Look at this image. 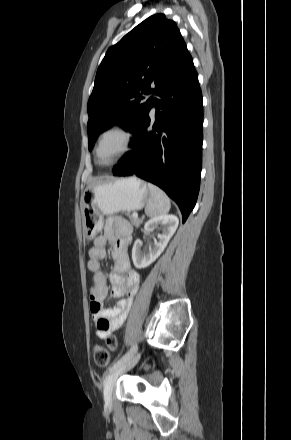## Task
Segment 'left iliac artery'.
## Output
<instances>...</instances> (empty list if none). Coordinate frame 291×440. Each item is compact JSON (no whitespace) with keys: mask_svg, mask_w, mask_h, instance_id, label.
Masks as SVG:
<instances>
[{"mask_svg":"<svg viewBox=\"0 0 291 440\" xmlns=\"http://www.w3.org/2000/svg\"><path fill=\"white\" fill-rule=\"evenodd\" d=\"M137 350V345H133L130 350L124 354L118 361H116L109 369L108 372L111 373L113 370L118 368L119 366L125 364L129 359L134 355Z\"/></svg>","mask_w":291,"mask_h":440,"instance_id":"44dca946","label":"left iliac artery"}]
</instances>
